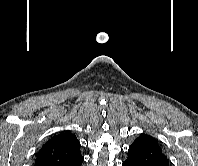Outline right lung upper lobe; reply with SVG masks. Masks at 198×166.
I'll return each instance as SVG.
<instances>
[{
  "mask_svg": "<svg viewBox=\"0 0 198 166\" xmlns=\"http://www.w3.org/2000/svg\"><path fill=\"white\" fill-rule=\"evenodd\" d=\"M81 158L80 142L67 131L52 137L43 145L34 166H63Z\"/></svg>",
  "mask_w": 198,
  "mask_h": 166,
  "instance_id": "1",
  "label": "right lung upper lobe"
}]
</instances>
